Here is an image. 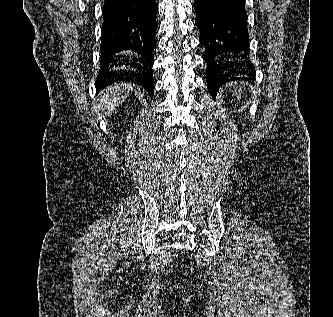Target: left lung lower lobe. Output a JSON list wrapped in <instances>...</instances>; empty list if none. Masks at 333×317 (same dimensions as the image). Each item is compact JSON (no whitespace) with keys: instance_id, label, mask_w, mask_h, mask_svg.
I'll list each match as a JSON object with an SVG mask.
<instances>
[{"instance_id":"obj_1","label":"left lung lower lobe","mask_w":333,"mask_h":317,"mask_svg":"<svg viewBox=\"0 0 333 317\" xmlns=\"http://www.w3.org/2000/svg\"><path fill=\"white\" fill-rule=\"evenodd\" d=\"M193 6L199 41L205 48L208 90L214 98L221 86L240 80L235 74H248L245 64L229 61L249 52L245 0H195Z\"/></svg>"}]
</instances>
